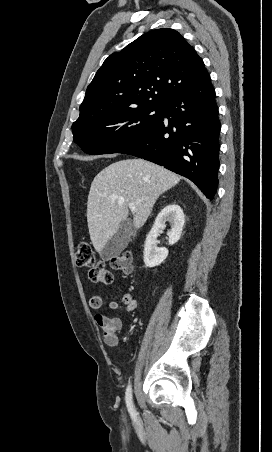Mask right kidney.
<instances>
[{"instance_id": "ca27d5eb", "label": "right kidney", "mask_w": 272, "mask_h": 452, "mask_svg": "<svg viewBox=\"0 0 272 452\" xmlns=\"http://www.w3.org/2000/svg\"><path fill=\"white\" fill-rule=\"evenodd\" d=\"M171 224L168 230L169 245L175 244L181 237L185 216L179 205H167L157 215L154 225L148 233L144 245V262L147 267H155L160 265L168 256V249L165 247H157L158 232L166 227V222Z\"/></svg>"}]
</instances>
